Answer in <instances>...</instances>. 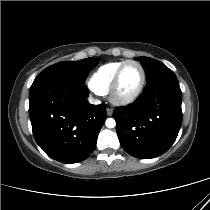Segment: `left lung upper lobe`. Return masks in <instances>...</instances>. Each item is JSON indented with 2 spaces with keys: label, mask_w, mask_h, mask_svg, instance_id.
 Masks as SVG:
<instances>
[{
  "label": "left lung upper lobe",
  "mask_w": 210,
  "mask_h": 210,
  "mask_svg": "<svg viewBox=\"0 0 210 210\" xmlns=\"http://www.w3.org/2000/svg\"><path fill=\"white\" fill-rule=\"evenodd\" d=\"M136 59L140 61L146 71L147 82L155 79L160 75L171 72L167 66L153 58L138 57Z\"/></svg>",
  "instance_id": "1"
}]
</instances>
